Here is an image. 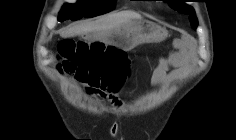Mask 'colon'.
Instances as JSON below:
<instances>
[{
	"label": "colon",
	"instance_id": "1",
	"mask_svg": "<svg viewBox=\"0 0 236 140\" xmlns=\"http://www.w3.org/2000/svg\"><path fill=\"white\" fill-rule=\"evenodd\" d=\"M58 70L78 78L89 92L112 98L129 74L130 62L122 50L100 42L62 40Z\"/></svg>",
	"mask_w": 236,
	"mask_h": 140
}]
</instances>
